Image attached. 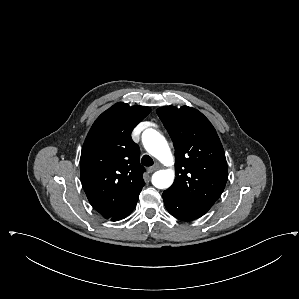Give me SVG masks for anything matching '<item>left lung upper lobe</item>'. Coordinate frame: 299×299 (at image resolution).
I'll return each mask as SVG.
<instances>
[{"label": "left lung upper lobe", "mask_w": 299, "mask_h": 299, "mask_svg": "<svg viewBox=\"0 0 299 299\" xmlns=\"http://www.w3.org/2000/svg\"><path fill=\"white\" fill-rule=\"evenodd\" d=\"M157 114L175 147L176 179L167 190L207 212L223 192L228 168L219 137L199 111L161 107Z\"/></svg>", "instance_id": "5c2ea615"}]
</instances>
